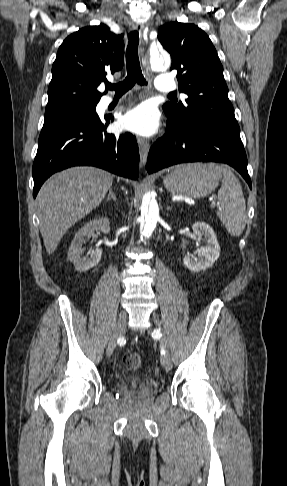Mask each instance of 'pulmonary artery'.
Segmentation results:
<instances>
[{
	"label": "pulmonary artery",
	"instance_id": "1",
	"mask_svg": "<svg viewBox=\"0 0 287 486\" xmlns=\"http://www.w3.org/2000/svg\"><path fill=\"white\" fill-rule=\"evenodd\" d=\"M156 89L160 92H172L176 89V82L175 80L168 75H160L156 79ZM105 104H110L112 99L106 97L104 100Z\"/></svg>",
	"mask_w": 287,
	"mask_h": 486
}]
</instances>
